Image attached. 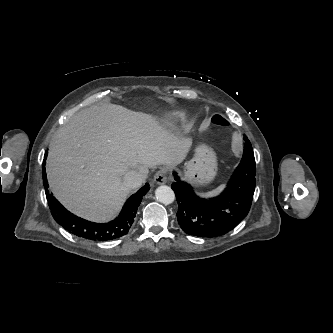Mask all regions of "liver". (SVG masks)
Wrapping results in <instances>:
<instances>
[{
    "label": "liver",
    "mask_w": 333,
    "mask_h": 333,
    "mask_svg": "<svg viewBox=\"0 0 333 333\" xmlns=\"http://www.w3.org/2000/svg\"><path fill=\"white\" fill-rule=\"evenodd\" d=\"M192 140L179 138L148 115L123 106L78 112L50 143L47 177L54 196L72 213L102 222L115 216L130 189L123 176L181 163Z\"/></svg>",
    "instance_id": "6515ba94"
}]
</instances>
